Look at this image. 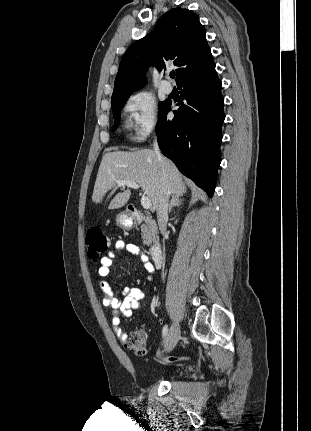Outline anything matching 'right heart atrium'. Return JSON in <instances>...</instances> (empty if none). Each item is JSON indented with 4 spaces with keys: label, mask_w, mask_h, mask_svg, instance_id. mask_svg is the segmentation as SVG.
Returning <instances> with one entry per match:
<instances>
[{
    "label": "right heart atrium",
    "mask_w": 311,
    "mask_h": 431,
    "mask_svg": "<svg viewBox=\"0 0 311 431\" xmlns=\"http://www.w3.org/2000/svg\"><path fill=\"white\" fill-rule=\"evenodd\" d=\"M125 109L138 141L146 140L159 130L161 125L159 107L149 92L140 90L130 95L125 102Z\"/></svg>",
    "instance_id": "d8ad5b80"
}]
</instances>
